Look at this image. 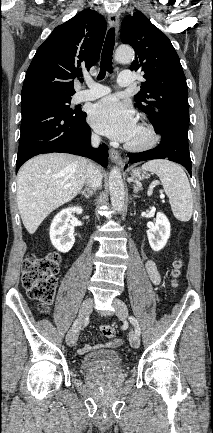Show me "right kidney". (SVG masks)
I'll return each mask as SVG.
<instances>
[{
    "label": "right kidney",
    "mask_w": 213,
    "mask_h": 433,
    "mask_svg": "<svg viewBox=\"0 0 213 433\" xmlns=\"http://www.w3.org/2000/svg\"><path fill=\"white\" fill-rule=\"evenodd\" d=\"M81 207H70L61 210L50 226V240L53 246L62 253H67L74 245V227L69 224L72 213L81 214Z\"/></svg>",
    "instance_id": "obj_1"
}]
</instances>
